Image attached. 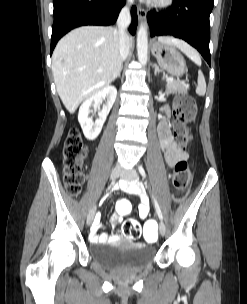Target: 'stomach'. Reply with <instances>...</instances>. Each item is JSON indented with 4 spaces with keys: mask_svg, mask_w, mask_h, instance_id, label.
<instances>
[{
    "mask_svg": "<svg viewBox=\"0 0 247 304\" xmlns=\"http://www.w3.org/2000/svg\"><path fill=\"white\" fill-rule=\"evenodd\" d=\"M152 53L160 65L171 75L179 77L187 69L186 62L175 46L156 42L152 46Z\"/></svg>",
    "mask_w": 247,
    "mask_h": 304,
    "instance_id": "stomach-1",
    "label": "stomach"
}]
</instances>
